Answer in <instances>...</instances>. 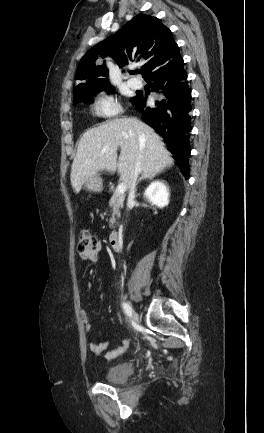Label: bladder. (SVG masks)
I'll list each match as a JSON object with an SVG mask.
<instances>
[{
	"label": "bladder",
	"mask_w": 264,
	"mask_h": 433,
	"mask_svg": "<svg viewBox=\"0 0 264 433\" xmlns=\"http://www.w3.org/2000/svg\"><path fill=\"white\" fill-rule=\"evenodd\" d=\"M133 367L130 363H121L110 367L104 373V380L111 384L126 382L131 376Z\"/></svg>",
	"instance_id": "1"
}]
</instances>
